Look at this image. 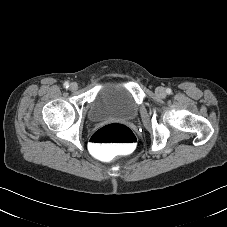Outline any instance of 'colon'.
<instances>
[{
  "label": "colon",
  "mask_w": 227,
  "mask_h": 227,
  "mask_svg": "<svg viewBox=\"0 0 227 227\" xmlns=\"http://www.w3.org/2000/svg\"><path fill=\"white\" fill-rule=\"evenodd\" d=\"M136 146L133 131L123 124H108L97 130L90 139L93 153L100 158H111L128 153Z\"/></svg>",
  "instance_id": "1"
}]
</instances>
